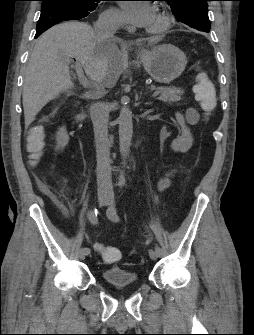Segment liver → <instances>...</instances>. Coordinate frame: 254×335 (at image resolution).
Masks as SVG:
<instances>
[{"instance_id":"1","label":"liver","mask_w":254,"mask_h":335,"mask_svg":"<svg viewBox=\"0 0 254 335\" xmlns=\"http://www.w3.org/2000/svg\"><path fill=\"white\" fill-rule=\"evenodd\" d=\"M116 38H100L82 22H64L44 32L31 53L23 84L25 125L62 92L74 88L69 72L71 58L80 62L97 91L113 88L127 56Z\"/></svg>"}]
</instances>
